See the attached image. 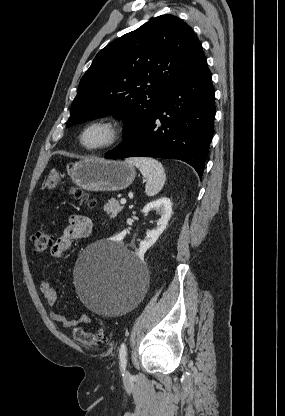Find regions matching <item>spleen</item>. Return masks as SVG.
Listing matches in <instances>:
<instances>
[{
    "instance_id": "obj_1",
    "label": "spleen",
    "mask_w": 285,
    "mask_h": 416,
    "mask_svg": "<svg viewBox=\"0 0 285 416\" xmlns=\"http://www.w3.org/2000/svg\"><path fill=\"white\" fill-rule=\"evenodd\" d=\"M125 162L131 164V166H136L142 176L146 178V196L159 194L166 182L165 170L160 162L153 160V158H126Z\"/></svg>"
}]
</instances>
